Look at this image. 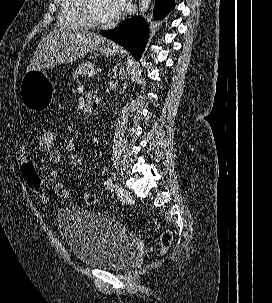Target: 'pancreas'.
Wrapping results in <instances>:
<instances>
[{"instance_id":"cf45deb5","label":"pancreas","mask_w":272,"mask_h":303,"mask_svg":"<svg viewBox=\"0 0 272 303\" xmlns=\"http://www.w3.org/2000/svg\"><path fill=\"white\" fill-rule=\"evenodd\" d=\"M93 66L94 65L92 63H84L80 65L74 72L73 79L77 81L79 76H87V74L92 70Z\"/></svg>"}]
</instances>
